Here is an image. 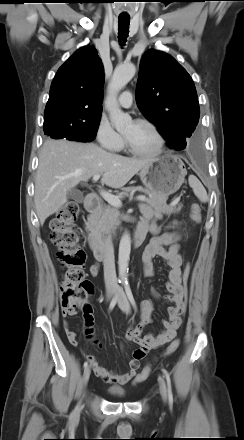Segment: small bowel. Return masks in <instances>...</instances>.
<instances>
[{
    "instance_id": "small-bowel-1",
    "label": "small bowel",
    "mask_w": 244,
    "mask_h": 440,
    "mask_svg": "<svg viewBox=\"0 0 244 440\" xmlns=\"http://www.w3.org/2000/svg\"><path fill=\"white\" fill-rule=\"evenodd\" d=\"M142 219L139 226H146L152 233V238L143 254L144 270L147 276L154 275L153 259L155 257H161L167 263L170 268L169 282L167 284V290L169 295L167 300L173 303L168 307L169 319L162 322L163 330L154 335L152 333L146 334L141 337L142 327L152 323V314L154 311V304L151 300H144L140 304V317L141 324L131 325L125 335V341L133 342L138 346L145 345L148 349H154L163 346L170 342L176 335V331L181 324L182 304L184 295V286L182 281V257L179 254L180 234L171 231L175 223L170 225L167 230L161 231V228L157 225V221L162 218L163 211L160 206H149L143 204L141 206ZM165 246H169L167 249ZM90 273L96 275L98 273V266L93 265L90 268ZM154 297H160V294L152 289ZM94 313L92 307L83 310V333L85 338L94 343L97 346L102 344L95 338L94 329ZM64 327L67 337L72 345H77L78 341L76 333L71 331L67 321H64ZM86 359L91 364L96 376L102 378L107 383H113L116 385H124L131 381L136 376V371L140 366L142 358H138L134 355L129 362V369L125 373H116L110 371L100 365L96 357L92 354H86Z\"/></svg>"
}]
</instances>
